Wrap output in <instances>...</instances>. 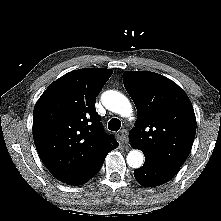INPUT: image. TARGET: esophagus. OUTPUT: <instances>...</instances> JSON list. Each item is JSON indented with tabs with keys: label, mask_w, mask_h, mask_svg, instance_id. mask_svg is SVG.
<instances>
[{
	"label": "esophagus",
	"mask_w": 221,
	"mask_h": 221,
	"mask_svg": "<svg viewBox=\"0 0 221 221\" xmlns=\"http://www.w3.org/2000/svg\"><path fill=\"white\" fill-rule=\"evenodd\" d=\"M120 137H121L123 142L127 143V141H128V131L126 129H122L120 131Z\"/></svg>",
	"instance_id": "esophagus-1"
}]
</instances>
